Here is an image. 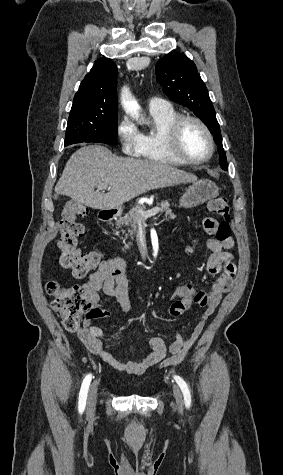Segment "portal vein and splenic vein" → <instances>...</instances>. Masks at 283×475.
I'll use <instances>...</instances> for the list:
<instances>
[{
	"instance_id": "portal-vein-and-splenic-vein-1",
	"label": "portal vein and splenic vein",
	"mask_w": 283,
	"mask_h": 475,
	"mask_svg": "<svg viewBox=\"0 0 283 475\" xmlns=\"http://www.w3.org/2000/svg\"><path fill=\"white\" fill-rule=\"evenodd\" d=\"M100 188H103V190H108V184H102ZM159 208H153V210H149V212H142V216L144 218H149V216H155V214H158Z\"/></svg>"
}]
</instances>
